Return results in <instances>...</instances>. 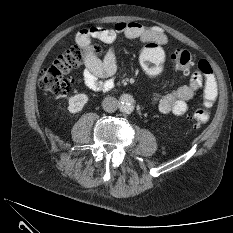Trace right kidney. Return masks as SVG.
<instances>
[{
	"mask_svg": "<svg viewBox=\"0 0 233 233\" xmlns=\"http://www.w3.org/2000/svg\"><path fill=\"white\" fill-rule=\"evenodd\" d=\"M88 102V96L86 94H76L71 96L68 100V110L70 113L80 112L84 105Z\"/></svg>",
	"mask_w": 233,
	"mask_h": 233,
	"instance_id": "obj_1",
	"label": "right kidney"
}]
</instances>
